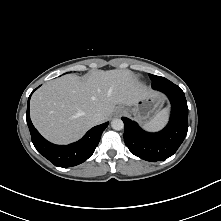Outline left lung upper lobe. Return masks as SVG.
Returning a JSON list of instances; mask_svg holds the SVG:
<instances>
[{
  "label": "left lung upper lobe",
  "mask_w": 221,
  "mask_h": 221,
  "mask_svg": "<svg viewBox=\"0 0 221 221\" xmlns=\"http://www.w3.org/2000/svg\"><path fill=\"white\" fill-rule=\"evenodd\" d=\"M149 77L152 80V87L154 89H158V88L164 87V86L173 85V83L171 81H169L168 79H166L164 77L156 76V75H152V74H149Z\"/></svg>",
  "instance_id": "5c2ea615"
}]
</instances>
